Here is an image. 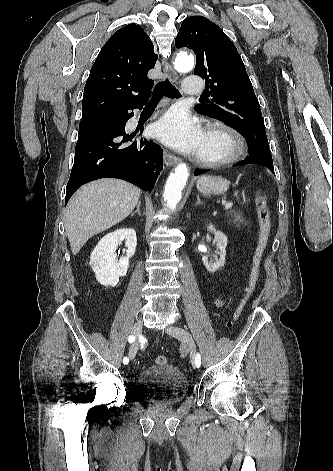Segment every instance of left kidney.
<instances>
[{
  "instance_id": "obj_1",
  "label": "left kidney",
  "mask_w": 333,
  "mask_h": 471,
  "mask_svg": "<svg viewBox=\"0 0 333 471\" xmlns=\"http://www.w3.org/2000/svg\"><path fill=\"white\" fill-rule=\"evenodd\" d=\"M207 229L210 232L214 233V236H215L214 239L217 242V247L219 251L215 252L214 261H208L207 256H203L202 261L207 271L210 273H214L219 268L225 265L226 247H227L228 239H227V236L223 232L216 230L215 227L211 224L207 227ZM217 254L220 256L219 259L217 257Z\"/></svg>"
}]
</instances>
